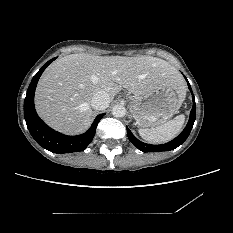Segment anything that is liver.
I'll return each mask as SVG.
<instances>
[{
    "mask_svg": "<svg viewBox=\"0 0 233 233\" xmlns=\"http://www.w3.org/2000/svg\"><path fill=\"white\" fill-rule=\"evenodd\" d=\"M163 86H172L181 100L184 98L182 76L160 58L71 54L44 71L36 88L35 107L52 128L80 134L91 125L90 102L96 92L108 93L111 101L122 88L134 95H144Z\"/></svg>",
    "mask_w": 233,
    "mask_h": 233,
    "instance_id": "6515ba94",
    "label": "liver"
}]
</instances>
